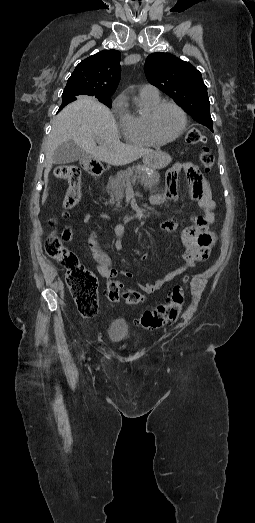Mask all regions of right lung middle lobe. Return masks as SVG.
I'll list each match as a JSON object with an SVG mask.
<instances>
[{
	"mask_svg": "<svg viewBox=\"0 0 255 523\" xmlns=\"http://www.w3.org/2000/svg\"><path fill=\"white\" fill-rule=\"evenodd\" d=\"M101 103L105 104L107 107L111 108L112 106V100L111 98H99L98 99Z\"/></svg>",
	"mask_w": 255,
	"mask_h": 523,
	"instance_id": "right-lung-middle-lobe-1",
	"label": "right lung middle lobe"
}]
</instances>
